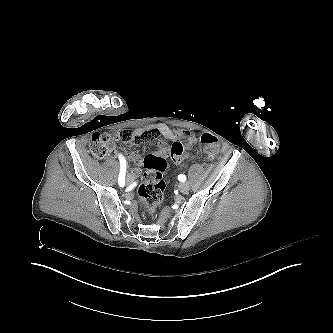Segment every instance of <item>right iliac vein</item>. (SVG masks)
Segmentation results:
<instances>
[{"label": "right iliac vein", "mask_w": 333, "mask_h": 333, "mask_svg": "<svg viewBox=\"0 0 333 333\" xmlns=\"http://www.w3.org/2000/svg\"><path fill=\"white\" fill-rule=\"evenodd\" d=\"M133 180H134L133 175L132 174H128L127 177H126V183L130 184V183L133 182Z\"/></svg>", "instance_id": "1"}]
</instances>
